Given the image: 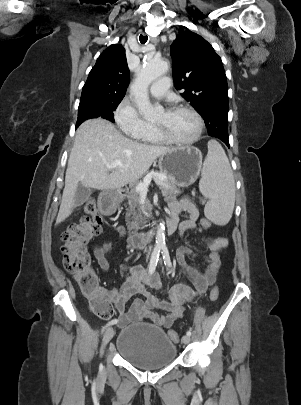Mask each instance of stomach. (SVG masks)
Returning a JSON list of instances; mask_svg holds the SVG:
<instances>
[{"label": "stomach", "instance_id": "1", "mask_svg": "<svg viewBox=\"0 0 301 405\" xmlns=\"http://www.w3.org/2000/svg\"><path fill=\"white\" fill-rule=\"evenodd\" d=\"M160 171L174 186L189 187L198 179L202 169V153L194 146L171 148L159 157Z\"/></svg>", "mask_w": 301, "mask_h": 405}]
</instances>
